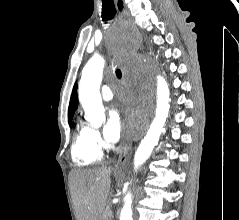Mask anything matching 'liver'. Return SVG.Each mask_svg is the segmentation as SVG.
Wrapping results in <instances>:
<instances>
[{
  "mask_svg": "<svg viewBox=\"0 0 239 220\" xmlns=\"http://www.w3.org/2000/svg\"><path fill=\"white\" fill-rule=\"evenodd\" d=\"M110 167L76 169L70 184L77 220H102L110 189Z\"/></svg>",
  "mask_w": 239,
  "mask_h": 220,
  "instance_id": "6515ba94",
  "label": "liver"
}]
</instances>
